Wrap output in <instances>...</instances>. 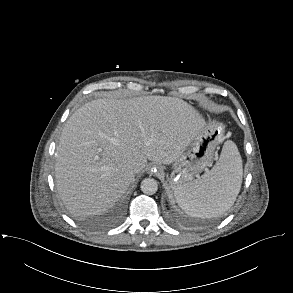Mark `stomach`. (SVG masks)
Wrapping results in <instances>:
<instances>
[{
	"mask_svg": "<svg viewBox=\"0 0 293 293\" xmlns=\"http://www.w3.org/2000/svg\"><path fill=\"white\" fill-rule=\"evenodd\" d=\"M223 137L224 126L221 123L211 119L205 122L196 138L172 164L169 184L174 192L200 178V173L214 160L216 148Z\"/></svg>",
	"mask_w": 293,
	"mask_h": 293,
	"instance_id": "1",
	"label": "stomach"
}]
</instances>
